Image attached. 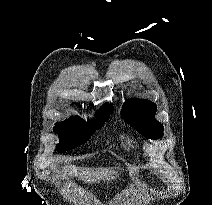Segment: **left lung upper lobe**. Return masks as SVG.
Segmentation results:
<instances>
[{
    "label": "left lung upper lobe",
    "mask_w": 212,
    "mask_h": 205,
    "mask_svg": "<svg viewBox=\"0 0 212 205\" xmlns=\"http://www.w3.org/2000/svg\"><path fill=\"white\" fill-rule=\"evenodd\" d=\"M156 105L149 100L129 99L122 107V118L150 139L163 136V126L155 119Z\"/></svg>",
    "instance_id": "1"
}]
</instances>
